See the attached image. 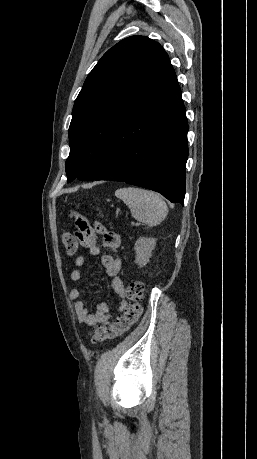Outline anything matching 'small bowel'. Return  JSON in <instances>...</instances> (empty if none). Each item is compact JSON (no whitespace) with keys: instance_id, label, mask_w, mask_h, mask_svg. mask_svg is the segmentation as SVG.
<instances>
[{"instance_id":"small-bowel-1","label":"small bowel","mask_w":257,"mask_h":459,"mask_svg":"<svg viewBox=\"0 0 257 459\" xmlns=\"http://www.w3.org/2000/svg\"><path fill=\"white\" fill-rule=\"evenodd\" d=\"M70 218L74 220L76 227H69V236H74L78 247H87L89 253L93 256H98L101 252L100 246L94 243L96 235L102 237L103 245L110 251H117L121 245V237L119 234L109 231L103 224L96 222L93 226L90 220H84V215L78 211H72ZM86 260L83 256H77L74 260V269L70 272V280L77 282L82 278L83 268ZM101 263L108 276L112 278L111 287L116 294L121 298L118 311L125 309L127 301L125 299V290L123 281L120 278L122 267L121 259L114 254H105L101 257ZM81 290L73 288L69 296L75 300L74 310L77 320L80 323L88 326L105 323L112 315L111 307L106 302H99L96 305L94 312H91L86 303L81 299Z\"/></svg>"}]
</instances>
